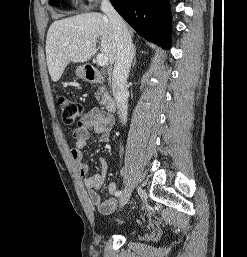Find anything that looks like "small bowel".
Returning <instances> with one entry per match:
<instances>
[{
  "label": "small bowel",
  "mask_w": 247,
  "mask_h": 257,
  "mask_svg": "<svg viewBox=\"0 0 247 257\" xmlns=\"http://www.w3.org/2000/svg\"><path fill=\"white\" fill-rule=\"evenodd\" d=\"M113 126L114 120L110 115L100 109L93 108L84 115L73 131V137L76 142L75 147L71 150V156L76 163L80 175L83 177L85 186L89 190L90 201L103 215L113 213L117 207V185L115 183L108 185V192L113 196L112 198L107 200L101 199L98 190L106 180L109 169L108 163L105 158H100L101 171L94 175H88L89 166L84 159L83 149L91 143L93 134L99 135L100 140L107 143Z\"/></svg>",
  "instance_id": "1"
}]
</instances>
